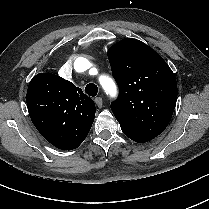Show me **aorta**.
Returning <instances> with one entry per match:
<instances>
[{
  "label": "aorta",
  "instance_id": "aorta-1",
  "mask_svg": "<svg viewBox=\"0 0 209 209\" xmlns=\"http://www.w3.org/2000/svg\"><path fill=\"white\" fill-rule=\"evenodd\" d=\"M86 59L83 57H79L74 62V67L76 70H79L81 65L85 64ZM101 85L103 88L109 92H112L114 90V82L110 77H103L101 79Z\"/></svg>",
  "mask_w": 209,
  "mask_h": 209
}]
</instances>
